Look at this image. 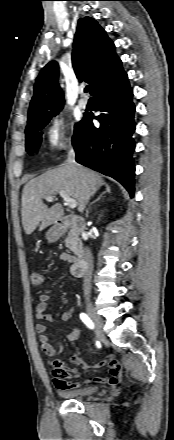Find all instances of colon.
I'll return each instance as SVG.
<instances>
[{
  "instance_id": "1",
  "label": "colon",
  "mask_w": 174,
  "mask_h": 440,
  "mask_svg": "<svg viewBox=\"0 0 174 440\" xmlns=\"http://www.w3.org/2000/svg\"><path fill=\"white\" fill-rule=\"evenodd\" d=\"M44 273L41 270H32L30 274V283L34 287L41 286L44 283Z\"/></svg>"
}]
</instances>
